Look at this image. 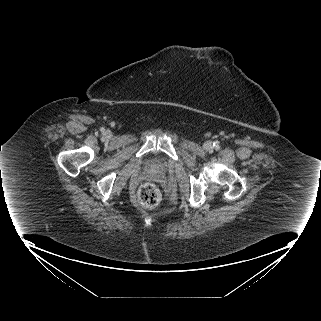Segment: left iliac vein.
I'll return each mask as SVG.
<instances>
[{
	"mask_svg": "<svg viewBox=\"0 0 321 321\" xmlns=\"http://www.w3.org/2000/svg\"><path fill=\"white\" fill-rule=\"evenodd\" d=\"M204 148L207 150L211 149L212 148L211 143H209V142L205 143Z\"/></svg>",
	"mask_w": 321,
	"mask_h": 321,
	"instance_id": "4c4485c4",
	"label": "left iliac vein"
}]
</instances>
